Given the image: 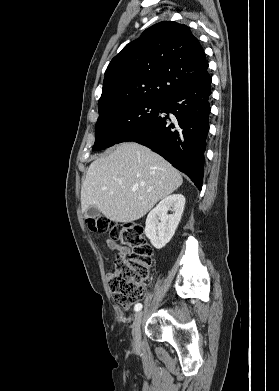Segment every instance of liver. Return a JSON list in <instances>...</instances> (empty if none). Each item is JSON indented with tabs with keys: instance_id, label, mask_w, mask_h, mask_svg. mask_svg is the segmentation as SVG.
<instances>
[{
	"instance_id": "obj_1",
	"label": "liver",
	"mask_w": 279,
	"mask_h": 391,
	"mask_svg": "<svg viewBox=\"0 0 279 391\" xmlns=\"http://www.w3.org/2000/svg\"><path fill=\"white\" fill-rule=\"evenodd\" d=\"M183 182L181 174L149 148L126 142L93 161L81 187V208L97 207L115 222L142 218Z\"/></svg>"
}]
</instances>
